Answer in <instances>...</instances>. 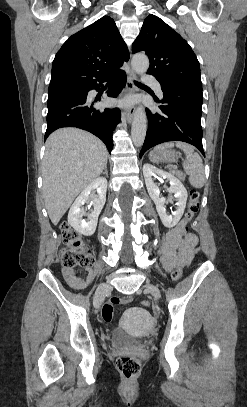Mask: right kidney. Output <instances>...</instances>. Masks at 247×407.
I'll use <instances>...</instances> for the list:
<instances>
[{"instance_id": "1", "label": "right kidney", "mask_w": 247, "mask_h": 407, "mask_svg": "<svg viewBox=\"0 0 247 407\" xmlns=\"http://www.w3.org/2000/svg\"><path fill=\"white\" fill-rule=\"evenodd\" d=\"M95 190L97 194H94ZM106 190L107 180L99 177L91 182L76 198L68 213V223L78 233L85 236L94 234L98 223V216L106 202ZM90 201L93 204L94 210L87 216V220H84L83 216L86 213L82 206Z\"/></svg>"}]
</instances>
